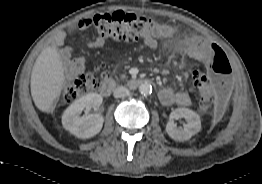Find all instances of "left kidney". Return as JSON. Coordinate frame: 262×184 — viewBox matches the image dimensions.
I'll list each match as a JSON object with an SVG mask.
<instances>
[{"instance_id":"obj_1","label":"left kidney","mask_w":262,"mask_h":184,"mask_svg":"<svg viewBox=\"0 0 262 184\" xmlns=\"http://www.w3.org/2000/svg\"><path fill=\"white\" fill-rule=\"evenodd\" d=\"M184 118L187 124L183 128H177L173 119ZM201 130V119L200 116L188 109V108H177L170 114V120L166 124L167 134L175 141H186L193 135L197 134Z\"/></svg>"}]
</instances>
